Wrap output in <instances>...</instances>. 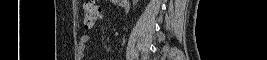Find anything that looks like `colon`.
I'll return each instance as SVG.
<instances>
[{"mask_svg": "<svg viewBox=\"0 0 267 60\" xmlns=\"http://www.w3.org/2000/svg\"><path fill=\"white\" fill-rule=\"evenodd\" d=\"M103 9L95 2H85L83 5V20L87 28L92 27L102 18Z\"/></svg>", "mask_w": 267, "mask_h": 60, "instance_id": "1", "label": "colon"}]
</instances>
